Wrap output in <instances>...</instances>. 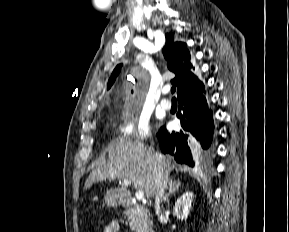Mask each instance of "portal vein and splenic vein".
Masks as SVG:
<instances>
[{"mask_svg": "<svg viewBox=\"0 0 289 232\" xmlns=\"http://www.w3.org/2000/svg\"><path fill=\"white\" fill-rule=\"evenodd\" d=\"M123 182H124L125 185H130V184H131V181L128 180V179H123ZM135 197H136V199H138V200H143V198H144V193H143V191L138 190V191L135 193Z\"/></svg>", "mask_w": 289, "mask_h": 232, "instance_id": "portal-vein-and-splenic-vein-1", "label": "portal vein and splenic vein"}]
</instances>
